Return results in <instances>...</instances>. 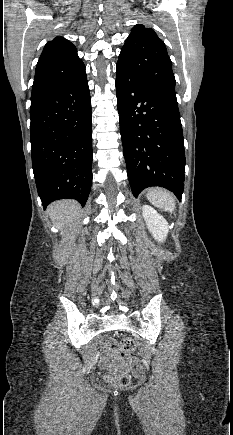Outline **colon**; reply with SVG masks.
<instances>
[{
	"mask_svg": "<svg viewBox=\"0 0 233 435\" xmlns=\"http://www.w3.org/2000/svg\"><path fill=\"white\" fill-rule=\"evenodd\" d=\"M112 347L114 349L116 357L123 358L135 351V343L131 338H124L119 342H113ZM132 376L129 373L120 374H108L105 377L107 384L111 386L125 387L131 383Z\"/></svg>",
	"mask_w": 233,
	"mask_h": 435,
	"instance_id": "1",
	"label": "colon"
}]
</instances>
